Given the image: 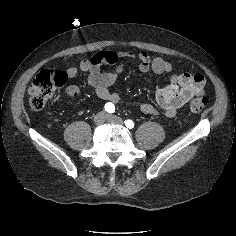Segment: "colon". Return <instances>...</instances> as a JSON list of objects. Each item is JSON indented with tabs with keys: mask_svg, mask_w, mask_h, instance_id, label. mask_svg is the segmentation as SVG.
Returning <instances> with one entry per match:
<instances>
[{
	"mask_svg": "<svg viewBox=\"0 0 236 236\" xmlns=\"http://www.w3.org/2000/svg\"><path fill=\"white\" fill-rule=\"evenodd\" d=\"M67 74L62 71L43 70L30 84L29 105L34 110H41L45 107L55 91L67 82ZM206 97H197L190 102V110L194 113L202 111L207 105Z\"/></svg>",
	"mask_w": 236,
	"mask_h": 236,
	"instance_id": "1",
	"label": "colon"
}]
</instances>
